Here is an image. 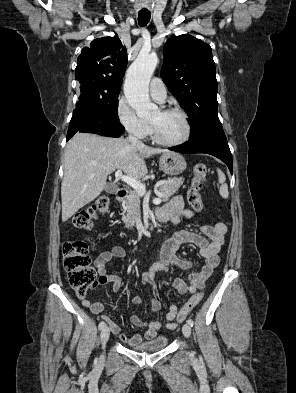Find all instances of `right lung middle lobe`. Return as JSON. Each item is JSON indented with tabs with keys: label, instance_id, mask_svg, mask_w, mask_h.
I'll return each mask as SVG.
<instances>
[{
	"label": "right lung middle lobe",
	"instance_id": "dd1d6c3e",
	"mask_svg": "<svg viewBox=\"0 0 296 393\" xmlns=\"http://www.w3.org/2000/svg\"><path fill=\"white\" fill-rule=\"evenodd\" d=\"M81 94L77 104L95 109L106 116L118 118V96L120 91L108 90L93 83L81 84Z\"/></svg>",
	"mask_w": 296,
	"mask_h": 393
}]
</instances>
